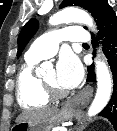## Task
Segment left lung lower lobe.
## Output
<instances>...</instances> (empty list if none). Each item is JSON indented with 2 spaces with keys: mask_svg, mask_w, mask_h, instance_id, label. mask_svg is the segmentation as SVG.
<instances>
[{
  "mask_svg": "<svg viewBox=\"0 0 117 131\" xmlns=\"http://www.w3.org/2000/svg\"><path fill=\"white\" fill-rule=\"evenodd\" d=\"M97 25L99 36L103 44V52L108 59L113 74V93L107 106L100 115L108 118L113 126H117V17L113 9L107 4L98 16ZM87 82L95 81L93 65L88 66Z\"/></svg>",
  "mask_w": 117,
  "mask_h": 131,
  "instance_id": "left-lung-lower-lobe-1",
  "label": "left lung lower lobe"
}]
</instances>
